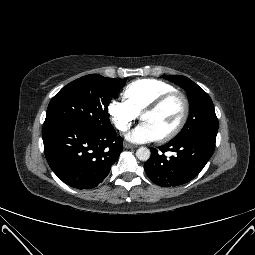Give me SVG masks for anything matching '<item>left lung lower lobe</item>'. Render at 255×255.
<instances>
[{"label":"left lung lower lobe","instance_id":"1","mask_svg":"<svg viewBox=\"0 0 255 255\" xmlns=\"http://www.w3.org/2000/svg\"><path fill=\"white\" fill-rule=\"evenodd\" d=\"M214 149L215 142L205 139L170 141L159 147V151L151 148V157L144 164V169L155 184L178 186L192 180L203 169ZM167 151L176 155L166 158L164 153Z\"/></svg>","mask_w":255,"mask_h":255}]
</instances>
